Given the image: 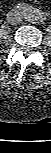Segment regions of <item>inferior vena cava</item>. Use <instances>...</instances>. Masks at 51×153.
Here are the masks:
<instances>
[{
	"mask_svg": "<svg viewBox=\"0 0 51 153\" xmlns=\"http://www.w3.org/2000/svg\"><path fill=\"white\" fill-rule=\"evenodd\" d=\"M22 19V13L19 10H12L7 15V21L12 25L21 23Z\"/></svg>",
	"mask_w": 51,
	"mask_h": 153,
	"instance_id": "inferior-vena-cava-1",
	"label": "inferior vena cava"
}]
</instances>
